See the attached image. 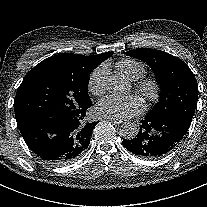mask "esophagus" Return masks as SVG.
Returning <instances> with one entry per match:
<instances>
[{
    "label": "esophagus",
    "mask_w": 207,
    "mask_h": 207,
    "mask_svg": "<svg viewBox=\"0 0 207 207\" xmlns=\"http://www.w3.org/2000/svg\"><path fill=\"white\" fill-rule=\"evenodd\" d=\"M107 120L111 121V122H114V124L116 126H121L123 124V119L121 117H110V116H107L105 117Z\"/></svg>",
    "instance_id": "obj_1"
}]
</instances>
